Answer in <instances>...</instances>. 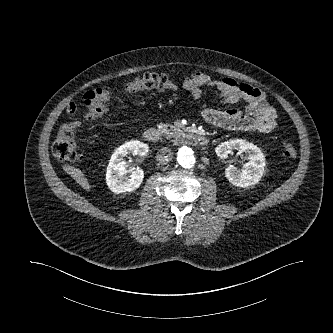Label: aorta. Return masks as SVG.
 <instances>
[{
  "mask_svg": "<svg viewBox=\"0 0 333 333\" xmlns=\"http://www.w3.org/2000/svg\"><path fill=\"white\" fill-rule=\"evenodd\" d=\"M177 161L183 168H192L196 159L191 148L183 146L178 150Z\"/></svg>",
  "mask_w": 333,
  "mask_h": 333,
  "instance_id": "1",
  "label": "aorta"
}]
</instances>
